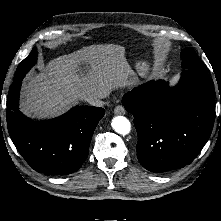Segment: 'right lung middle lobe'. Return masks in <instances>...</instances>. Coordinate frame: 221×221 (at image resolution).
I'll return each instance as SVG.
<instances>
[{
    "instance_id": "1",
    "label": "right lung middle lobe",
    "mask_w": 221,
    "mask_h": 221,
    "mask_svg": "<svg viewBox=\"0 0 221 221\" xmlns=\"http://www.w3.org/2000/svg\"><path fill=\"white\" fill-rule=\"evenodd\" d=\"M37 52L34 47L29 56L24 59L18 66L17 72L15 73L14 81L23 79L24 75L30 70V68L36 63Z\"/></svg>"
}]
</instances>
